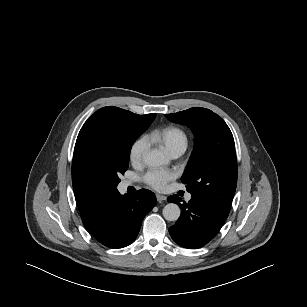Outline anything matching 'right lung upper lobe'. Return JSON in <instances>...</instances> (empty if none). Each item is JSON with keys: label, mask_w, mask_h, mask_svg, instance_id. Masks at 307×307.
<instances>
[{"label": "right lung upper lobe", "mask_w": 307, "mask_h": 307, "mask_svg": "<svg viewBox=\"0 0 307 307\" xmlns=\"http://www.w3.org/2000/svg\"><path fill=\"white\" fill-rule=\"evenodd\" d=\"M117 114L122 116H128V117H134L144 120L152 119L156 114H147V115H137L130 111L114 107V106H107L99 109L96 111L83 125L82 129L79 132L78 137L84 130V128L96 117L102 115V114ZM78 139V138H77ZM77 142L75 144L74 149V156H73V162H72V184H73V190L74 195L76 199L77 206L79 208L83 223L86 227L91 226L94 221L96 220L98 214L100 213L103 206L106 204V202L111 198L113 193H103L96 190L91 189L88 187L80 174L78 162H77Z\"/></svg>", "instance_id": "1"}]
</instances>
